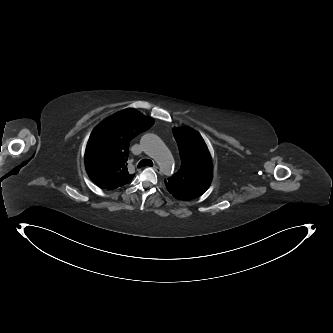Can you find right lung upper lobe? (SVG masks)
I'll use <instances>...</instances> for the list:
<instances>
[{
	"label": "right lung upper lobe",
	"mask_w": 333,
	"mask_h": 333,
	"mask_svg": "<svg viewBox=\"0 0 333 333\" xmlns=\"http://www.w3.org/2000/svg\"><path fill=\"white\" fill-rule=\"evenodd\" d=\"M154 121L134 109H124L104 121L92 132L85 151V166L99 187L113 190L131 182L126 168L129 142L148 130Z\"/></svg>",
	"instance_id": "1"
}]
</instances>
